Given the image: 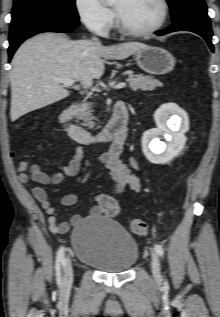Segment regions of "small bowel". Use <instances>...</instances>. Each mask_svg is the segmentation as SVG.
I'll return each instance as SVG.
<instances>
[{"mask_svg":"<svg viewBox=\"0 0 220 317\" xmlns=\"http://www.w3.org/2000/svg\"><path fill=\"white\" fill-rule=\"evenodd\" d=\"M122 147L112 145L111 148L101 154L98 158L99 162L104 166L106 172L113 179L115 194H122L125 191L137 193L141 190V182L137 174L132 172L127 164L120 159ZM83 157V149L81 145H77L75 152L69 163L62 169L53 174L43 172L37 164L28 165L21 163L18 168V178L22 183L33 181L41 185H57L61 183L66 176H76L81 167ZM130 164L133 168L139 169V164L134 157H131ZM34 198L38 201L41 208L48 215V224L51 231L55 233H66L71 225L78 224L81 221L80 215H74L70 221L58 222L57 208L50 202L47 192L41 186H35L31 189ZM110 197L106 193H100L95 196L96 205L90 209V214L93 216L102 215L103 202ZM78 197L76 194L64 195L59 204L61 206H71L77 203Z\"/></svg>","mask_w":220,"mask_h":317,"instance_id":"obj_1","label":"small bowel"}]
</instances>
